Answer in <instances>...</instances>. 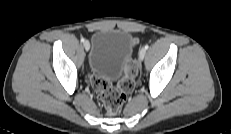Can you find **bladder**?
Masks as SVG:
<instances>
[{"label": "bladder", "mask_w": 231, "mask_h": 134, "mask_svg": "<svg viewBox=\"0 0 231 134\" xmlns=\"http://www.w3.org/2000/svg\"><path fill=\"white\" fill-rule=\"evenodd\" d=\"M134 51L131 33L120 29H101L91 40L88 55L90 72L108 82L120 80Z\"/></svg>", "instance_id": "1"}]
</instances>
